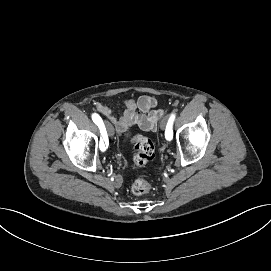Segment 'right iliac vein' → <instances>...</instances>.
<instances>
[{"instance_id": "63e3f726", "label": "right iliac vein", "mask_w": 271, "mask_h": 271, "mask_svg": "<svg viewBox=\"0 0 271 271\" xmlns=\"http://www.w3.org/2000/svg\"><path fill=\"white\" fill-rule=\"evenodd\" d=\"M105 128H106V131H107L108 135L113 136L114 130H113V127H112L111 123L106 121L105 122Z\"/></svg>"}]
</instances>
